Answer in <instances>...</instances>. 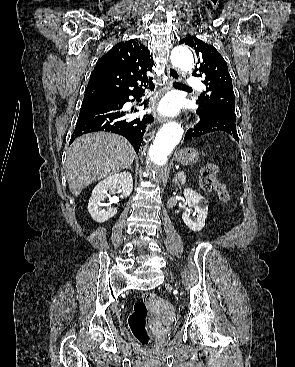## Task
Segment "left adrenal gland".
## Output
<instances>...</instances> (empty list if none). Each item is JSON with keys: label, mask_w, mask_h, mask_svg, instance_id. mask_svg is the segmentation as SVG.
I'll use <instances>...</instances> for the list:
<instances>
[{"label": "left adrenal gland", "mask_w": 295, "mask_h": 367, "mask_svg": "<svg viewBox=\"0 0 295 367\" xmlns=\"http://www.w3.org/2000/svg\"><path fill=\"white\" fill-rule=\"evenodd\" d=\"M173 182L175 184H178L179 185V182H178V179H177V175L176 174L174 175Z\"/></svg>", "instance_id": "1"}]
</instances>
